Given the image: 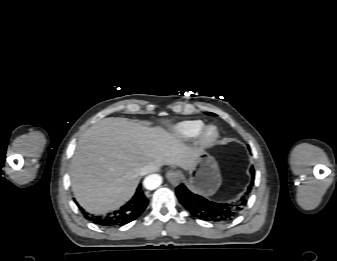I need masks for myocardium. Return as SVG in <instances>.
Masks as SVG:
<instances>
[{
  "mask_svg": "<svg viewBox=\"0 0 337 261\" xmlns=\"http://www.w3.org/2000/svg\"><path fill=\"white\" fill-rule=\"evenodd\" d=\"M220 132L217 126L208 125L203 128L201 133L198 136L199 144L202 147L208 148L213 146L219 139Z\"/></svg>",
  "mask_w": 337,
  "mask_h": 261,
  "instance_id": "1",
  "label": "myocardium"
}]
</instances>
